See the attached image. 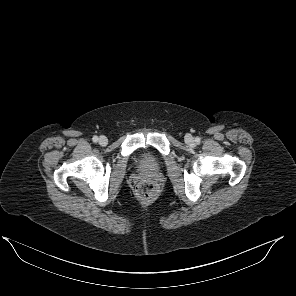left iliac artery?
<instances>
[{
  "instance_id": "44dca946",
  "label": "left iliac artery",
  "mask_w": 296,
  "mask_h": 296,
  "mask_svg": "<svg viewBox=\"0 0 296 296\" xmlns=\"http://www.w3.org/2000/svg\"><path fill=\"white\" fill-rule=\"evenodd\" d=\"M195 141L198 143V142H200V139L199 138H196Z\"/></svg>"
}]
</instances>
